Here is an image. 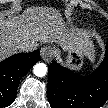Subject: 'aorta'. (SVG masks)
Segmentation results:
<instances>
[{
    "label": "aorta",
    "instance_id": "1",
    "mask_svg": "<svg viewBox=\"0 0 108 108\" xmlns=\"http://www.w3.org/2000/svg\"><path fill=\"white\" fill-rule=\"evenodd\" d=\"M33 73L37 77H43L47 74V66L44 63H37L33 67Z\"/></svg>",
    "mask_w": 108,
    "mask_h": 108
}]
</instances>
